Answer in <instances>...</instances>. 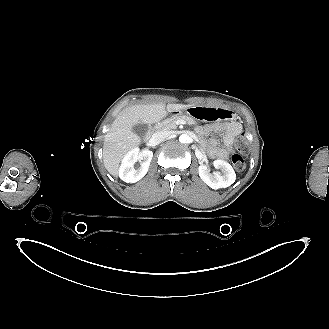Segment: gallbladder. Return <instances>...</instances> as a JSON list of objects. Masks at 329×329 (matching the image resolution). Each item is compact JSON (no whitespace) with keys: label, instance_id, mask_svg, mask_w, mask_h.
<instances>
[{"label":"gallbladder","instance_id":"gallbladder-1","mask_svg":"<svg viewBox=\"0 0 329 329\" xmlns=\"http://www.w3.org/2000/svg\"><path fill=\"white\" fill-rule=\"evenodd\" d=\"M132 131L139 137H144L148 131V125L144 123H138L133 126Z\"/></svg>","mask_w":329,"mask_h":329}]
</instances>
